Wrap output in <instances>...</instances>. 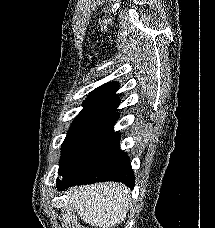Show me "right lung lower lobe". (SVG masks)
<instances>
[{
  "instance_id": "98d812e1",
  "label": "right lung lower lobe",
  "mask_w": 215,
  "mask_h": 228,
  "mask_svg": "<svg viewBox=\"0 0 215 228\" xmlns=\"http://www.w3.org/2000/svg\"><path fill=\"white\" fill-rule=\"evenodd\" d=\"M119 137L75 168L57 183L58 190L69 186L103 181L122 182L133 189L134 175L128 155L120 150Z\"/></svg>"
}]
</instances>
